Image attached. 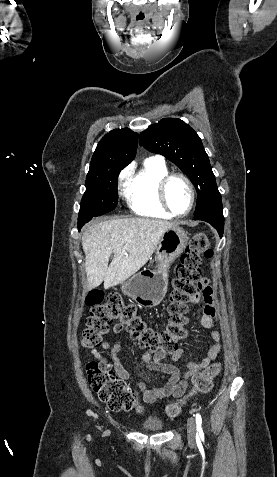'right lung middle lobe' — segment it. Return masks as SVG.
<instances>
[{"label":"right lung middle lobe","mask_w":277,"mask_h":477,"mask_svg":"<svg viewBox=\"0 0 277 477\" xmlns=\"http://www.w3.org/2000/svg\"><path fill=\"white\" fill-rule=\"evenodd\" d=\"M124 167H114L86 177V191L80 203L78 229L92 217L114 210L118 203L117 178Z\"/></svg>","instance_id":"obj_1"}]
</instances>
